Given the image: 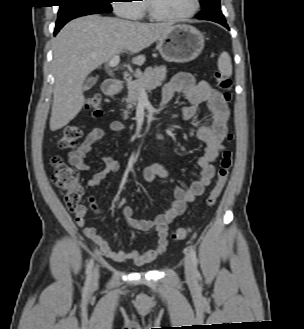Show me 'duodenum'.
I'll list each match as a JSON object with an SVG mask.
<instances>
[{
	"instance_id": "duodenum-1",
	"label": "duodenum",
	"mask_w": 304,
	"mask_h": 329,
	"mask_svg": "<svg viewBox=\"0 0 304 329\" xmlns=\"http://www.w3.org/2000/svg\"><path fill=\"white\" fill-rule=\"evenodd\" d=\"M120 83L117 79H108L103 84V92L106 96H115L119 92Z\"/></svg>"
}]
</instances>
